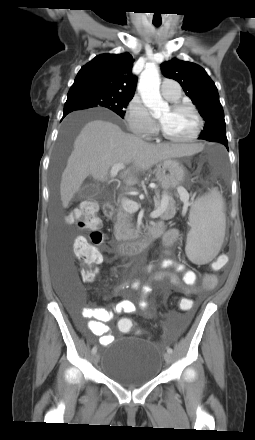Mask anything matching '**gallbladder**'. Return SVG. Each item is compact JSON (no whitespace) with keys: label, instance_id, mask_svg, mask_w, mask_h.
<instances>
[{"label":"gallbladder","instance_id":"1","mask_svg":"<svg viewBox=\"0 0 255 440\" xmlns=\"http://www.w3.org/2000/svg\"><path fill=\"white\" fill-rule=\"evenodd\" d=\"M99 187L93 183L85 184L78 192L77 198L85 199L92 198L97 195Z\"/></svg>","mask_w":255,"mask_h":440}]
</instances>
